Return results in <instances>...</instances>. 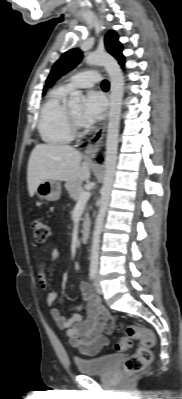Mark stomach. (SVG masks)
Returning <instances> with one entry per match:
<instances>
[{"instance_id":"0dacf381","label":"stomach","mask_w":182,"mask_h":399,"mask_svg":"<svg viewBox=\"0 0 182 399\" xmlns=\"http://www.w3.org/2000/svg\"><path fill=\"white\" fill-rule=\"evenodd\" d=\"M35 193L41 199L56 201L61 196V184L57 180H46L41 182Z\"/></svg>"}]
</instances>
